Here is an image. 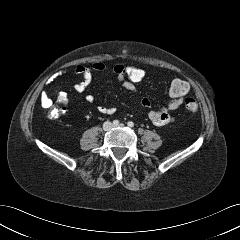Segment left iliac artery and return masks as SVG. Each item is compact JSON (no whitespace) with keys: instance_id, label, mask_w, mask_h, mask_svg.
<instances>
[{"instance_id":"1","label":"left iliac artery","mask_w":240,"mask_h":240,"mask_svg":"<svg viewBox=\"0 0 240 240\" xmlns=\"http://www.w3.org/2000/svg\"><path fill=\"white\" fill-rule=\"evenodd\" d=\"M127 125H128L129 127H133V126H134V123H133L132 121H129V122L127 123Z\"/></svg>"}]
</instances>
